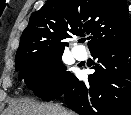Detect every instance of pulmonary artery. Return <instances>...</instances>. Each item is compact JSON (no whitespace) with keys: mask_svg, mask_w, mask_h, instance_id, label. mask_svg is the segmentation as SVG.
Wrapping results in <instances>:
<instances>
[{"mask_svg":"<svg viewBox=\"0 0 131 115\" xmlns=\"http://www.w3.org/2000/svg\"><path fill=\"white\" fill-rule=\"evenodd\" d=\"M73 53H74L75 57H76L77 59H79V60L84 59L85 56H86V53H85L84 51L78 50V49H74V50H73Z\"/></svg>","mask_w":131,"mask_h":115,"instance_id":"pulmonary-artery-1","label":"pulmonary artery"}]
</instances>
